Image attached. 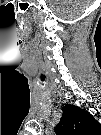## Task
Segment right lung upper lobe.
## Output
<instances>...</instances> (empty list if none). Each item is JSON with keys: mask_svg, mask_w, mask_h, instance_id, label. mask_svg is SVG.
<instances>
[{"mask_svg": "<svg viewBox=\"0 0 101 135\" xmlns=\"http://www.w3.org/2000/svg\"><path fill=\"white\" fill-rule=\"evenodd\" d=\"M59 124L55 127L58 135H97L100 124L92 115L77 106L67 104L63 107Z\"/></svg>", "mask_w": 101, "mask_h": 135, "instance_id": "1", "label": "right lung upper lobe"}]
</instances>
